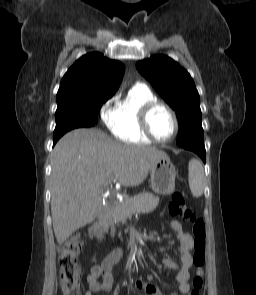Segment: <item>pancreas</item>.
I'll return each instance as SVG.
<instances>
[{
	"mask_svg": "<svg viewBox=\"0 0 256 295\" xmlns=\"http://www.w3.org/2000/svg\"><path fill=\"white\" fill-rule=\"evenodd\" d=\"M159 198L152 193L138 194L114 205L112 212L104 223L105 231L111 227V235L114 236L116 223H124L135 213H149L156 209Z\"/></svg>",
	"mask_w": 256,
	"mask_h": 295,
	"instance_id": "obj_1",
	"label": "pancreas"
}]
</instances>
